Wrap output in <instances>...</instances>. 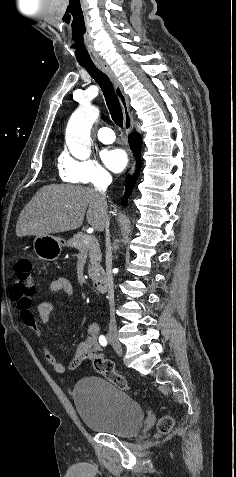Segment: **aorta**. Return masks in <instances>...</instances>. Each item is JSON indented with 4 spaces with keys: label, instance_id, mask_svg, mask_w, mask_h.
Instances as JSON below:
<instances>
[{
    "label": "aorta",
    "instance_id": "1",
    "mask_svg": "<svg viewBox=\"0 0 236 477\" xmlns=\"http://www.w3.org/2000/svg\"><path fill=\"white\" fill-rule=\"evenodd\" d=\"M98 116V108L82 105L70 117L65 138L70 151L75 156L89 157L91 153L90 130Z\"/></svg>",
    "mask_w": 236,
    "mask_h": 477
}]
</instances>
